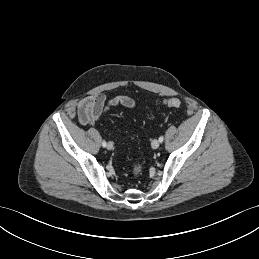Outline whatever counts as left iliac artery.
<instances>
[{"instance_id": "44dca946", "label": "left iliac artery", "mask_w": 259, "mask_h": 259, "mask_svg": "<svg viewBox=\"0 0 259 259\" xmlns=\"http://www.w3.org/2000/svg\"><path fill=\"white\" fill-rule=\"evenodd\" d=\"M163 140H164V137H163V136H160V137H159V141H160V142H163Z\"/></svg>"}]
</instances>
